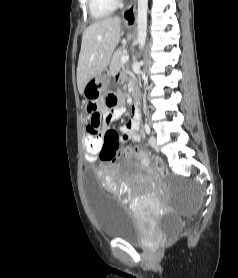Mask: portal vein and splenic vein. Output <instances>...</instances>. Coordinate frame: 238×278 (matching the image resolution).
Here are the masks:
<instances>
[{
	"label": "portal vein and splenic vein",
	"mask_w": 238,
	"mask_h": 278,
	"mask_svg": "<svg viewBox=\"0 0 238 278\" xmlns=\"http://www.w3.org/2000/svg\"><path fill=\"white\" fill-rule=\"evenodd\" d=\"M128 60H129V55L126 54V55H124V56L122 57L121 63L124 64V63H126Z\"/></svg>",
	"instance_id": "portal-vein-and-splenic-vein-1"
}]
</instances>
